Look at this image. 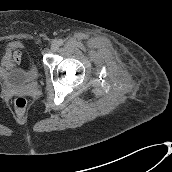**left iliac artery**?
<instances>
[{
	"label": "left iliac artery",
	"instance_id": "1",
	"mask_svg": "<svg viewBox=\"0 0 172 172\" xmlns=\"http://www.w3.org/2000/svg\"><path fill=\"white\" fill-rule=\"evenodd\" d=\"M58 42H59V43H60V45H61V44H63V43L65 42V40L60 39Z\"/></svg>",
	"mask_w": 172,
	"mask_h": 172
}]
</instances>
